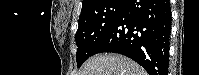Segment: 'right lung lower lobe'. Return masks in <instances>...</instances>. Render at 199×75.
I'll return each instance as SVG.
<instances>
[{"label": "right lung lower lobe", "instance_id": "right-lung-lower-lobe-1", "mask_svg": "<svg viewBox=\"0 0 199 75\" xmlns=\"http://www.w3.org/2000/svg\"><path fill=\"white\" fill-rule=\"evenodd\" d=\"M170 28L169 0H127L93 55L119 53L140 64L149 75H168Z\"/></svg>", "mask_w": 199, "mask_h": 75}]
</instances>
